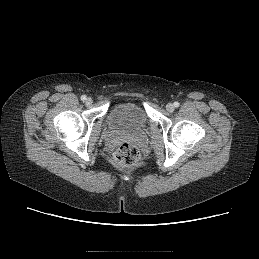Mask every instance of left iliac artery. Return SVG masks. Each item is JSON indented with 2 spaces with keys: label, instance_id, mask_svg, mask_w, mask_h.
Listing matches in <instances>:
<instances>
[{
  "label": "left iliac artery",
  "instance_id": "left-iliac-artery-1",
  "mask_svg": "<svg viewBox=\"0 0 259 259\" xmlns=\"http://www.w3.org/2000/svg\"><path fill=\"white\" fill-rule=\"evenodd\" d=\"M174 106H175V107H178V106H179V103H178V102H174Z\"/></svg>",
  "mask_w": 259,
  "mask_h": 259
}]
</instances>
